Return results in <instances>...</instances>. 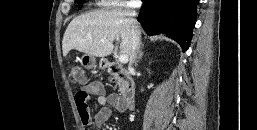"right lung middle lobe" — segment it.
<instances>
[{
  "label": "right lung middle lobe",
  "mask_w": 257,
  "mask_h": 130,
  "mask_svg": "<svg viewBox=\"0 0 257 130\" xmlns=\"http://www.w3.org/2000/svg\"><path fill=\"white\" fill-rule=\"evenodd\" d=\"M77 2L79 5H82L85 2V0H77Z\"/></svg>",
  "instance_id": "right-lung-middle-lobe-1"
}]
</instances>
